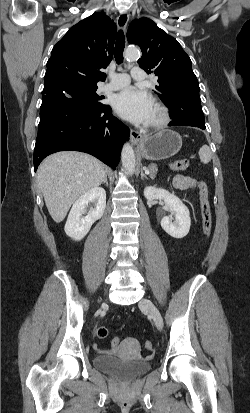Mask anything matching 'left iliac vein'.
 <instances>
[{
    "label": "left iliac vein",
    "mask_w": 250,
    "mask_h": 413,
    "mask_svg": "<svg viewBox=\"0 0 250 413\" xmlns=\"http://www.w3.org/2000/svg\"><path fill=\"white\" fill-rule=\"evenodd\" d=\"M139 307L148 312V314L153 318L156 327L161 330L163 328V318L157 307L149 299H142L139 302Z\"/></svg>",
    "instance_id": "1"
}]
</instances>
